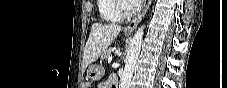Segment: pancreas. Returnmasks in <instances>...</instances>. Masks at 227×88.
I'll return each mask as SVG.
<instances>
[{"label":"pancreas","mask_w":227,"mask_h":88,"mask_svg":"<svg viewBox=\"0 0 227 88\" xmlns=\"http://www.w3.org/2000/svg\"><path fill=\"white\" fill-rule=\"evenodd\" d=\"M109 56H111V49H106V50L103 51V53L101 54V58H102L103 60H107Z\"/></svg>","instance_id":"obj_1"}]
</instances>
